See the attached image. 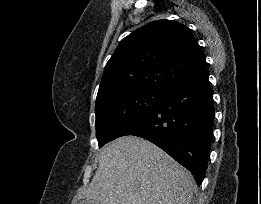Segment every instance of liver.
Masks as SVG:
<instances>
[{"instance_id": "obj_1", "label": "liver", "mask_w": 261, "mask_h": 204, "mask_svg": "<svg viewBox=\"0 0 261 204\" xmlns=\"http://www.w3.org/2000/svg\"><path fill=\"white\" fill-rule=\"evenodd\" d=\"M194 177L162 149L136 136L106 144L87 188L74 199L96 204H190Z\"/></svg>"}]
</instances>
